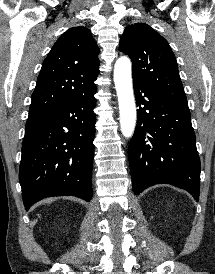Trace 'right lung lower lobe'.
<instances>
[{
	"mask_svg": "<svg viewBox=\"0 0 215 274\" xmlns=\"http://www.w3.org/2000/svg\"><path fill=\"white\" fill-rule=\"evenodd\" d=\"M96 86L27 123L19 181L25 209L52 196L92 198Z\"/></svg>",
	"mask_w": 215,
	"mask_h": 274,
	"instance_id": "right-lung-lower-lobe-1",
	"label": "right lung lower lobe"
}]
</instances>
